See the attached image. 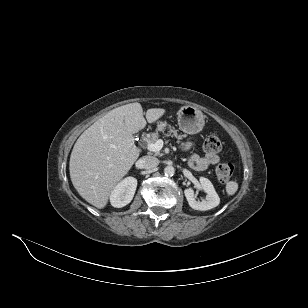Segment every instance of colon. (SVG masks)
I'll return each mask as SVG.
<instances>
[{"label": "colon", "instance_id": "1", "mask_svg": "<svg viewBox=\"0 0 308 308\" xmlns=\"http://www.w3.org/2000/svg\"><path fill=\"white\" fill-rule=\"evenodd\" d=\"M221 140L217 135H209L204 140V149L208 153H217L221 150ZM234 173V166L230 162H222L216 167V176L221 182H227Z\"/></svg>", "mask_w": 308, "mask_h": 308}]
</instances>
